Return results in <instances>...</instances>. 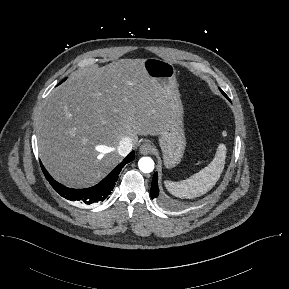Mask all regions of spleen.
<instances>
[{"label":"spleen","mask_w":289,"mask_h":289,"mask_svg":"<svg viewBox=\"0 0 289 289\" xmlns=\"http://www.w3.org/2000/svg\"><path fill=\"white\" fill-rule=\"evenodd\" d=\"M226 146L220 144L214 159L198 173L179 181H165L167 190L179 198L192 199L208 192L218 181L224 169Z\"/></svg>","instance_id":"spleen-1"}]
</instances>
